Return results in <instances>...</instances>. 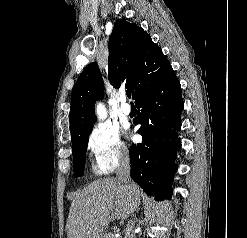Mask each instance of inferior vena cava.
Returning <instances> with one entry per match:
<instances>
[{"instance_id": "1", "label": "inferior vena cava", "mask_w": 247, "mask_h": 238, "mask_svg": "<svg viewBox=\"0 0 247 238\" xmlns=\"http://www.w3.org/2000/svg\"><path fill=\"white\" fill-rule=\"evenodd\" d=\"M117 180L123 183L126 188L129 190V193L132 194V189L134 188V183H132L130 178V160L129 154L127 151H122L119 156V167L117 169ZM134 201V199H133ZM136 207V205H135ZM130 232L128 233V238H135L133 233L134 231V222L131 221L129 225Z\"/></svg>"}]
</instances>
